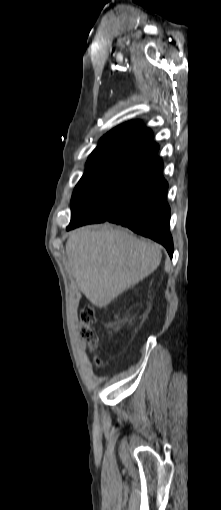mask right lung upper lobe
Wrapping results in <instances>:
<instances>
[{"label": "right lung upper lobe", "mask_w": 221, "mask_h": 510, "mask_svg": "<svg viewBox=\"0 0 221 510\" xmlns=\"http://www.w3.org/2000/svg\"><path fill=\"white\" fill-rule=\"evenodd\" d=\"M159 146L152 140V131L138 120L124 123L104 135L89 157L123 151H143L155 154Z\"/></svg>", "instance_id": "right-lung-upper-lobe-1"}]
</instances>
